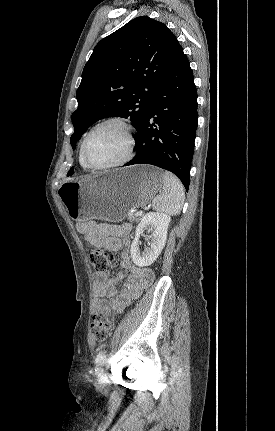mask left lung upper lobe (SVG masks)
<instances>
[{"label":"left lung upper lobe","mask_w":275,"mask_h":431,"mask_svg":"<svg viewBox=\"0 0 275 431\" xmlns=\"http://www.w3.org/2000/svg\"><path fill=\"white\" fill-rule=\"evenodd\" d=\"M180 48L165 24L147 16L102 39L84 67L76 92L72 148L88 127L106 117L129 118L139 132ZM72 174L73 168L67 175Z\"/></svg>","instance_id":"1"}]
</instances>
